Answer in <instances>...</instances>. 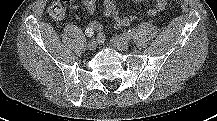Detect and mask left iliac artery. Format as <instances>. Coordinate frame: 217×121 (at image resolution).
Masks as SVG:
<instances>
[{"label":"left iliac artery","instance_id":"44dca946","mask_svg":"<svg viewBox=\"0 0 217 121\" xmlns=\"http://www.w3.org/2000/svg\"><path fill=\"white\" fill-rule=\"evenodd\" d=\"M136 32V28L129 29L127 32L122 34V37L126 40H130Z\"/></svg>","mask_w":217,"mask_h":121}]
</instances>
